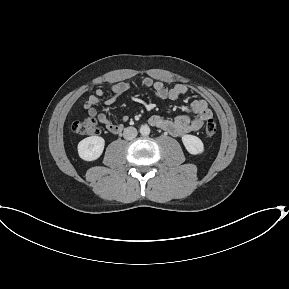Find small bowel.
I'll list each match as a JSON object with an SVG mask.
<instances>
[{
  "label": "small bowel",
  "instance_id": "1",
  "mask_svg": "<svg viewBox=\"0 0 289 289\" xmlns=\"http://www.w3.org/2000/svg\"><path fill=\"white\" fill-rule=\"evenodd\" d=\"M144 87L151 88L155 97L159 99L177 100L180 96L189 92V88L184 84H177L173 87H167L164 82L155 80L151 77H144L140 80ZM131 82H116L111 85V96L106 100L107 105L113 104L116 99L131 87ZM104 96V90L97 89L95 94L89 96L84 104L85 110L89 116L97 118L105 128L112 134H118L122 130V124H117L107 118L104 113L98 112L96 106ZM191 112L194 116L181 114L173 119L164 118L154 115L149 119L151 125L167 131L175 137H183L190 133L198 132L203 124L212 118V112L208 103L203 99L193 100L190 105ZM123 120H127L126 117Z\"/></svg>",
  "mask_w": 289,
  "mask_h": 289
}]
</instances>
